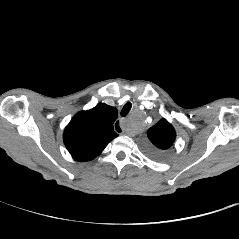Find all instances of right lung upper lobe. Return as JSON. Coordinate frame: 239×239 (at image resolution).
<instances>
[{"instance_id": "1", "label": "right lung upper lobe", "mask_w": 239, "mask_h": 239, "mask_svg": "<svg viewBox=\"0 0 239 239\" xmlns=\"http://www.w3.org/2000/svg\"><path fill=\"white\" fill-rule=\"evenodd\" d=\"M117 116V109L105 103L77 113L63 136L72 157L77 161H89L98 156L118 136L113 128Z\"/></svg>"}]
</instances>
